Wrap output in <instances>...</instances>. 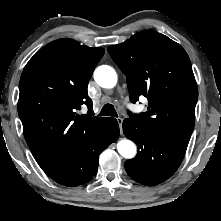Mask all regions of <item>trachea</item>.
<instances>
[{
	"label": "trachea",
	"mask_w": 221,
	"mask_h": 221,
	"mask_svg": "<svg viewBox=\"0 0 221 221\" xmlns=\"http://www.w3.org/2000/svg\"><path fill=\"white\" fill-rule=\"evenodd\" d=\"M99 116H113L117 117L116 110L112 104H106L103 106Z\"/></svg>",
	"instance_id": "obj_1"
}]
</instances>
